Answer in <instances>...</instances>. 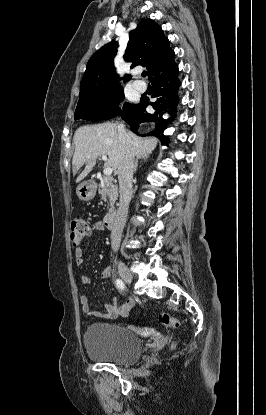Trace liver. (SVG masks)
I'll return each mask as SVG.
<instances>
[{"mask_svg": "<svg viewBox=\"0 0 266 415\" xmlns=\"http://www.w3.org/2000/svg\"><path fill=\"white\" fill-rule=\"evenodd\" d=\"M131 139L134 155L142 156L152 153L158 140L154 137L141 138L134 133L126 132ZM75 152L72 160L73 174L85 163V169L77 177L82 181L96 165L101 155H108L106 165L117 171L121 158V147L116 123H101L79 127L74 134Z\"/></svg>", "mask_w": 266, "mask_h": 415, "instance_id": "6515ba94", "label": "liver"}]
</instances>
